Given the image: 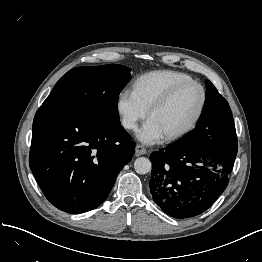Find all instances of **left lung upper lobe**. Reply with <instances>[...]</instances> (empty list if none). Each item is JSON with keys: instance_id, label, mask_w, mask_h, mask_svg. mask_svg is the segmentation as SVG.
Returning <instances> with one entry per match:
<instances>
[{"instance_id": "5c2ea615", "label": "left lung upper lobe", "mask_w": 262, "mask_h": 262, "mask_svg": "<svg viewBox=\"0 0 262 262\" xmlns=\"http://www.w3.org/2000/svg\"><path fill=\"white\" fill-rule=\"evenodd\" d=\"M206 88V100L196 128L176 141L175 144L179 147L220 152L222 151V139L237 138L233 116L226 99L208 80Z\"/></svg>"}]
</instances>
